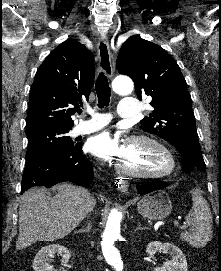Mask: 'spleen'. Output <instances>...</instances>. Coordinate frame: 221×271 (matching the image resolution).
<instances>
[{"mask_svg":"<svg viewBox=\"0 0 221 271\" xmlns=\"http://www.w3.org/2000/svg\"><path fill=\"white\" fill-rule=\"evenodd\" d=\"M193 205L188 211L185 219L189 227L188 233H181L182 241H188L194 247H204L207 241H211L212 213L209 203L201 195H193Z\"/></svg>","mask_w":221,"mask_h":271,"instance_id":"spleen-1","label":"spleen"}]
</instances>
